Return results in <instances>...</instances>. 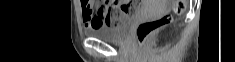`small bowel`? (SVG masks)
<instances>
[{
    "mask_svg": "<svg viewBox=\"0 0 235 62\" xmlns=\"http://www.w3.org/2000/svg\"><path fill=\"white\" fill-rule=\"evenodd\" d=\"M82 7V18L86 29H97L102 27L104 23L108 24V19L110 15V11L115 8H121L123 10V14H129L135 11L133 4L129 2H111L107 8H103L98 6L94 9L92 1H81Z\"/></svg>",
    "mask_w": 235,
    "mask_h": 62,
    "instance_id": "1",
    "label": "small bowel"
}]
</instances>
